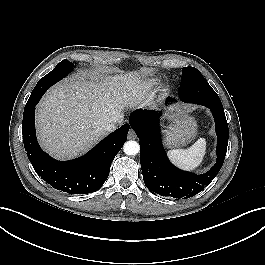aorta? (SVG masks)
Masks as SVG:
<instances>
[{
	"label": "aorta",
	"instance_id": "obj_1",
	"mask_svg": "<svg viewBox=\"0 0 265 265\" xmlns=\"http://www.w3.org/2000/svg\"><path fill=\"white\" fill-rule=\"evenodd\" d=\"M140 150V146L136 141H127L123 146L126 155H136Z\"/></svg>",
	"mask_w": 265,
	"mask_h": 265
}]
</instances>
